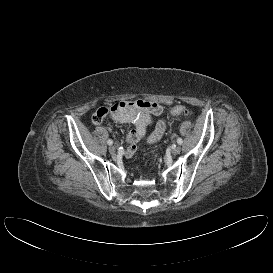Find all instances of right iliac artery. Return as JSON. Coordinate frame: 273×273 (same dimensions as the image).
I'll return each instance as SVG.
<instances>
[{"mask_svg":"<svg viewBox=\"0 0 273 273\" xmlns=\"http://www.w3.org/2000/svg\"><path fill=\"white\" fill-rule=\"evenodd\" d=\"M107 143H108V145H112V144H113V141H112L111 139H109V140L107 141Z\"/></svg>","mask_w":273,"mask_h":273,"instance_id":"82829eb1","label":"right iliac artery"}]
</instances>
